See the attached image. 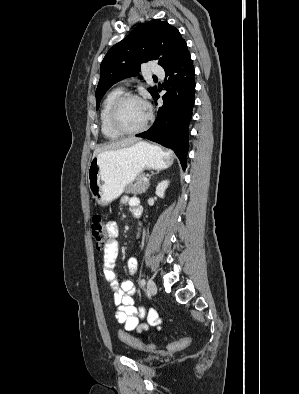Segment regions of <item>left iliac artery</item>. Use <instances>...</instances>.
I'll return each instance as SVG.
<instances>
[{"instance_id":"left-iliac-artery-1","label":"left iliac artery","mask_w":299,"mask_h":394,"mask_svg":"<svg viewBox=\"0 0 299 394\" xmlns=\"http://www.w3.org/2000/svg\"><path fill=\"white\" fill-rule=\"evenodd\" d=\"M145 284H146V281H145V279H142V280L140 281V285H141L142 287H144V286H145Z\"/></svg>"}]
</instances>
